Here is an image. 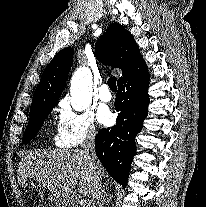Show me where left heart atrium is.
<instances>
[{"instance_id": "39dd6f15", "label": "left heart atrium", "mask_w": 206, "mask_h": 207, "mask_svg": "<svg viewBox=\"0 0 206 207\" xmlns=\"http://www.w3.org/2000/svg\"><path fill=\"white\" fill-rule=\"evenodd\" d=\"M98 120L103 125H110L113 121V115L108 109H102L99 112Z\"/></svg>"}]
</instances>
